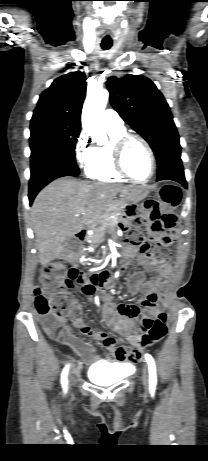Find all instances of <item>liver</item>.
Masks as SVG:
<instances>
[{
  "label": "liver",
  "instance_id": "liver-1",
  "mask_svg": "<svg viewBox=\"0 0 208 461\" xmlns=\"http://www.w3.org/2000/svg\"><path fill=\"white\" fill-rule=\"evenodd\" d=\"M132 189L72 178H60L46 186L32 206L40 263L46 265L58 258L67 238L99 220L118 193Z\"/></svg>",
  "mask_w": 208,
  "mask_h": 461
}]
</instances>
